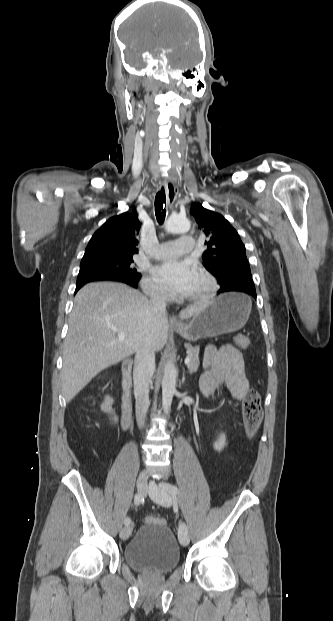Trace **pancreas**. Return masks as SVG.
<instances>
[{
	"label": "pancreas",
	"mask_w": 333,
	"mask_h": 621,
	"mask_svg": "<svg viewBox=\"0 0 333 621\" xmlns=\"http://www.w3.org/2000/svg\"><path fill=\"white\" fill-rule=\"evenodd\" d=\"M185 348L187 349V357L190 358V363L188 364V369L190 372H196L199 367V346L193 347L190 344H185Z\"/></svg>",
	"instance_id": "obj_1"
}]
</instances>
